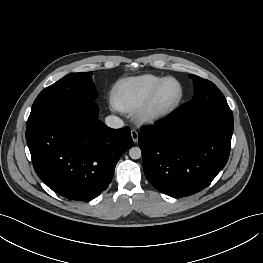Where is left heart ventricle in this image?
Wrapping results in <instances>:
<instances>
[{
    "mask_svg": "<svg viewBox=\"0 0 263 263\" xmlns=\"http://www.w3.org/2000/svg\"><path fill=\"white\" fill-rule=\"evenodd\" d=\"M179 94V85L175 81H168L159 94L158 103L163 106L169 105L178 98Z\"/></svg>",
    "mask_w": 263,
    "mask_h": 263,
    "instance_id": "b2bd125f",
    "label": "left heart ventricle"
}]
</instances>
